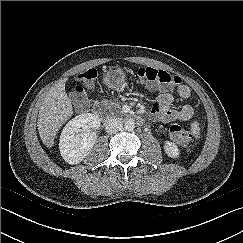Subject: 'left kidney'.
<instances>
[{"label":"left kidney","instance_id":"5707ae66","mask_svg":"<svg viewBox=\"0 0 243 243\" xmlns=\"http://www.w3.org/2000/svg\"><path fill=\"white\" fill-rule=\"evenodd\" d=\"M164 150L165 153L171 157V158H178L179 157V148L175 143H172L170 141H165L164 143Z\"/></svg>","mask_w":243,"mask_h":243}]
</instances>
